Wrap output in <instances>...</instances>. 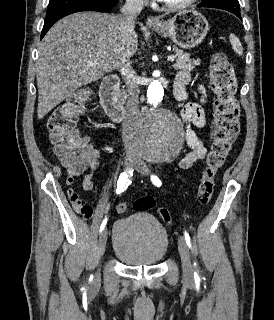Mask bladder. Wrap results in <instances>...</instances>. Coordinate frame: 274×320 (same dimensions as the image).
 Wrapping results in <instances>:
<instances>
[{"mask_svg":"<svg viewBox=\"0 0 274 320\" xmlns=\"http://www.w3.org/2000/svg\"><path fill=\"white\" fill-rule=\"evenodd\" d=\"M169 249L165 227L152 215L134 212L117 219L112 230L114 255L130 266L160 263Z\"/></svg>","mask_w":274,"mask_h":320,"instance_id":"obj_1","label":"bladder"}]
</instances>
